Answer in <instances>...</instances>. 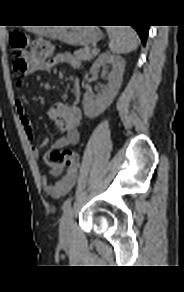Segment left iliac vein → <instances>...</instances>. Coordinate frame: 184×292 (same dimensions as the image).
Instances as JSON below:
<instances>
[{
    "label": "left iliac vein",
    "mask_w": 184,
    "mask_h": 292,
    "mask_svg": "<svg viewBox=\"0 0 184 292\" xmlns=\"http://www.w3.org/2000/svg\"><path fill=\"white\" fill-rule=\"evenodd\" d=\"M73 211L71 209L65 211V214L63 215L60 226H59V235L60 239L64 240L67 239L71 233V230L73 228Z\"/></svg>",
    "instance_id": "obj_1"
}]
</instances>
